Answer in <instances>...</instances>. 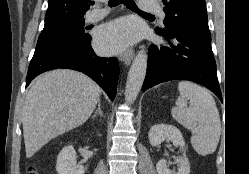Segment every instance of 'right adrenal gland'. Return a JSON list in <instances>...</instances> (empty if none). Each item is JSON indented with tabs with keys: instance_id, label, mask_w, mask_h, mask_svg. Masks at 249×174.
I'll use <instances>...</instances> for the list:
<instances>
[{
	"instance_id": "obj_1",
	"label": "right adrenal gland",
	"mask_w": 249,
	"mask_h": 174,
	"mask_svg": "<svg viewBox=\"0 0 249 174\" xmlns=\"http://www.w3.org/2000/svg\"><path fill=\"white\" fill-rule=\"evenodd\" d=\"M98 115L102 116L103 113L101 111V102H100V99L98 100V108L96 109L94 115H93V119H95Z\"/></svg>"
}]
</instances>
